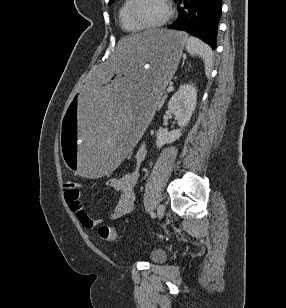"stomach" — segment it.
I'll list each match as a JSON object with an SVG mask.
<instances>
[{
  "instance_id": "1",
  "label": "stomach",
  "mask_w": 286,
  "mask_h": 308,
  "mask_svg": "<svg viewBox=\"0 0 286 308\" xmlns=\"http://www.w3.org/2000/svg\"><path fill=\"white\" fill-rule=\"evenodd\" d=\"M179 31L123 36L92 69L62 113L60 152L76 177H112L129 159L143 125L172 79L186 43Z\"/></svg>"
}]
</instances>
